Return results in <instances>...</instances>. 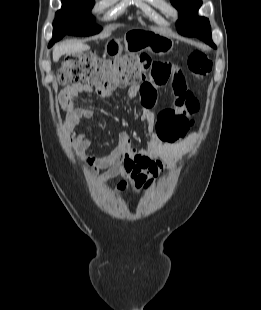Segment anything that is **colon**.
I'll return each mask as SVG.
<instances>
[{"instance_id":"colon-1","label":"colon","mask_w":261,"mask_h":310,"mask_svg":"<svg viewBox=\"0 0 261 310\" xmlns=\"http://www.w3.org/2000/svg\"><path fill=\"white\" fill-rule=\"evenodd\" d=\"M150 58L145 54L129 53L114 59H104L93 53L67 55L58 72L62 85H83L97 91H111L129 85L146 82V69ZM210 54L204 49H195L188 58L191 74L201 79L212 70ZM65 105H69L65 101Z\"/></svg>"}]
</instances>
